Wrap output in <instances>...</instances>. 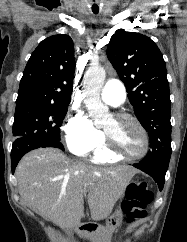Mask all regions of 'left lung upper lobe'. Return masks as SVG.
Returning a JSON list of instances; mask_svg holds the SVG:
<instances>
[{"instance_id":"1","label":"left lung upper lobe","mask_w":187,"mask_h":242,"mask_svg":"<svg viewBox=\"0 0 187 242\" xmlns=\"http://www.w3.org/2000/svg\"><path fill=\"white\" fill-rule=\"evenodd\" d=\"M107 56L150 138L151 149L140 162L169 165L171 101L166 65L159 48L145 35L120 29L110 39Z\"/></svg>"}]
</instances>
